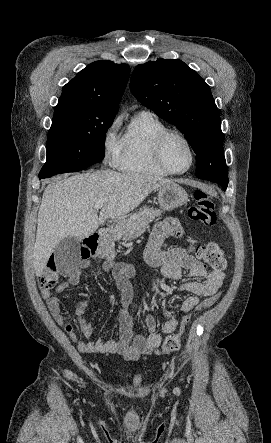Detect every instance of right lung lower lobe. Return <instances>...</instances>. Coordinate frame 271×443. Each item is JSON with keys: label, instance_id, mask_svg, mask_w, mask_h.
<instances>
[{"label": "right lung lower lobe", "instance_id": "1", "mask_svg": "<svg viewBox=\"0 0 271 443\" xmlns=\"http://www.w3.org/2000/svg\"><path fill=\"white\" fill-rule=\"evenodd\" d=\"M85 168H87V167L59 169V170H55V171H52L49 173L39 174V178L45 179V178H49V177L56 175V174L67 173V172H76V171L83 170Z\"/></svg>", "mask_w": 271, "mask_h": 443}]
</instances>
